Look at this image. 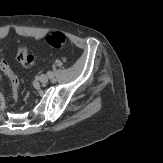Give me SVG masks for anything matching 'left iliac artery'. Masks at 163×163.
Masks as SVG:
<instances>
[{
    "instance_id": "44dca946",
    "label": "left iliac artery",
    "mask_w": 163,
    "mask_h": 163,
    "mask_svg": "<svg viewBox=\"0 0 163 163\" xmlns=\"http://www.w3.org/2000/svg\"><path fill=\"white\" fill-rule=\"evenodd\" d=\"M47 75L49 78H53L54 77V73L52 71H48Z\"/></svg>"
}]
</instances>
